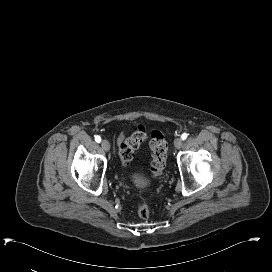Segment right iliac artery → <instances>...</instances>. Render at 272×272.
I'll return each instance as SVG.
<instances>
[{"mask_svg":"<svg viewBox=\"0 0 272 272\" xmlns=\"http://www.w3.org/2000/svg\"><path fill=\"white\" fill-rule=\"evenodd\" d=\"M95 141H96L97 143H100V142H101V137H100V136H95Z\"/></svg>","mask_w":272,"mask_h":272,"instance_id":"82829eb1","label":"right iliac artery"}]
</instances>
